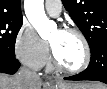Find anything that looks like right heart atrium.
I'll use <instances>...</instances> for the list:
<instances>
[{"instance_id": "right-heart-atrium-1", "label": "right heart atrium", "mask_w": 107, "mask_h": 89, "mask_svg": "<svg viewBox=\"0 0 107 89\" xmlns=\"http://www.w3.org/2000/svg\"><path fill=\"white\" fill-rule=\"evenodd\" d=\"M14 49L17 58L33 70L41 69L48 60V43L28 23L20 27L15 38Z\"/></svg>"}]
</instances>
